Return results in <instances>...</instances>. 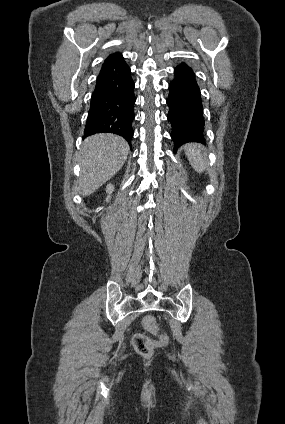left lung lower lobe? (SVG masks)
Masks as SVG:
<instances>
[{"label":"left lung lower lobe","instance_id":"1","mask_svg":"<svg viewBox=\"0 0 285 424\" xmlns=\"http://www.w3.org/2000/svg\"><path fill=\"white\" fill-rule=\"evenodd\" d=\"M168 120L172 125L174 150L188 142L205 141L204 117L200 88L191 67L181 63L174 69V79L169 83Z\"/></svg>","mask_w":285,"mask_h":424}]
</instances>
